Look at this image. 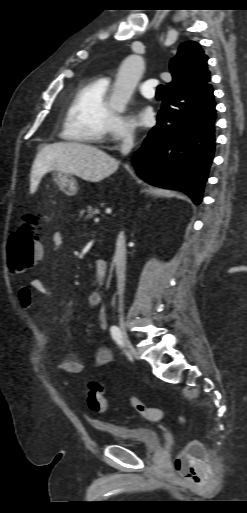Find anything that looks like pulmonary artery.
I'll return each instance as SVG.
<instances>
[{"label": "pulmonary artery", "instance_id": "1", "mask_svg": "<svg viewBox=\"0 0 247 513\" xmlns=\"http://www.w3.org/2000/svg\"><path fill=\"white\" fill-rule=\"evenodd\" d=\"M158 81L155 79H149L144 81L139 86V91L146 98H153L155 96V87Z\"/></svg>", "mask_w": 247, "mask_h": 513}]
</instances>
